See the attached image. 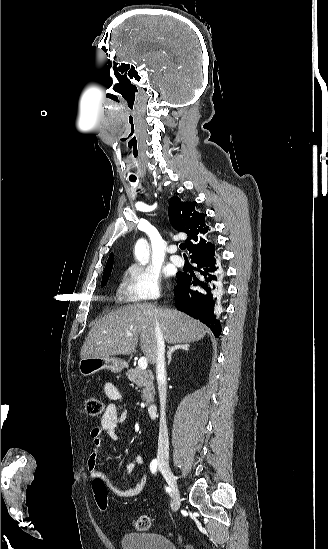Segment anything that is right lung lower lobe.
Returning a JSON list of instances; mask_svg holds the SVG:
<instances>
[{
	"mask_svg": "<svg viewBox=\"0 0 328 549\" xmlns=\"http://www.w3.org/2000/svg\"><path fill=\"white\" fill-rule=\"evenodd\" d=\"M195 273H179V284L174 289L178 310L206 324L216 337L221 333L219 320L214 314L216 294L221 285L220 266L215 253L196 256Z\"/></svg>",
	"mask_w": 328,
	"mask_h": 549,
	"instance_id": "98d812e1",
	"label": "right lung lower lobe"
}]
</instances>
